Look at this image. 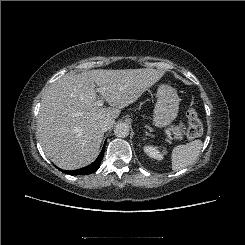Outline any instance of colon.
<instances>
[{"label":"colon","mask_w":245,"mask_h":245,"mask_svg":"<svg viewBox=\"0 0 245 245\" xmlns=\"http://www.w3.org/2000/svg\"><path fill=\"white\" fill-rule=\"evenodd\" d=\"M187 120V138L190 140L196 139L202 134V123L195 109L189 108L187 110Z\"/></svg>","instance_id":"obj_1"}]
</instances>
